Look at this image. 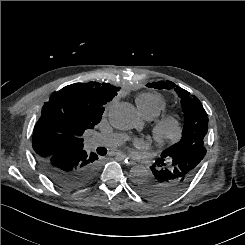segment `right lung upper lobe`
<instances>
[{
    "label": "right lung upper lobe",
    "instance_id": "1",
    "mask_svg": "<svg viewBox=\"0 0 245 245\" xmlns=\"http://www.w3.org/2000/svg\"><path fill=\"white\" fill-rule=\"evenodd\" d=\"M119 90L108 83L88 82L54 92L33 130L32 146L37 158L47 160L66 149H83L84 131L100 122L104 105Z\"/></svg>",
    "mask_w": 245,
    "mask_h": 245
}]
</instances>
